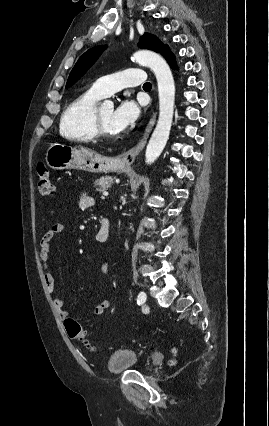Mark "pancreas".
Here are the masks:
<instances>
[{"label": "pancreas", "mask_w": 269, "mask_h": 426, "mask_svg": "<svg viewBox=\"0 0 269 426\" xmlns=\"http://www.w3.org/2000/svg\"><path fill=\"white\" fill-rule=\"evenodd\" d=\"M115 177L112 176H102L99 179L95 180L94 186L97 191L103 192L110 188L114 183Z\"/></svg>", "instance_id": "obj_1"}]
</instances>
